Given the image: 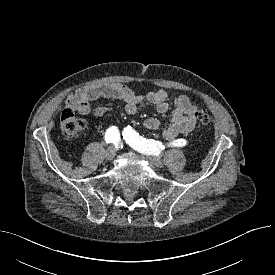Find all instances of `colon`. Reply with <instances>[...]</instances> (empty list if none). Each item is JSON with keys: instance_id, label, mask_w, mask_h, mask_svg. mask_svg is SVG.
Listing matches in <instances>:
<instances>
[{"instance_id": "1", "label": "colon", "mask_w": 275, "mask_h": 275, "mask_svg": "<svg viewBox=\"0 0 275 275\" xmlns=\"http://www.w3.org/2000/svg\"><path fill=\"white\" fill-rule=\"evenodd\" d=\"M195 118L199 124L207 126L211 123V116L206 110H199L195 113ZM61 129L66 138L77 136L84 128L85 121L75 116L73 111L66 109L61 116Z\"/></svg>"}]
</instances>
